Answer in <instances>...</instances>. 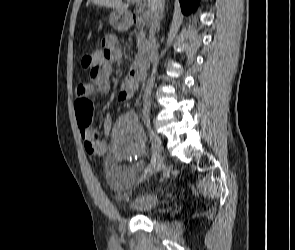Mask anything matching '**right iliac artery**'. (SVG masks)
Instances as JSON below:
<instances>
[{"label": "right iliac artery", "mask_w": 295, "mask_h": 250, "mask_svg": "<svg viewBox=\"0 0 295 250\" xmlns=\"http://www.w3.org/2000/svg\"><path fill=\"white\" fill-rule=\"evenodd\" d=\"M155 163H156V158L152 155L151 156L150 163L147 166V168L145 169V173L150 172L153 169V167L155 166Z\"/></svg>", "instance_id": "82829eb1"}]
</instances>
